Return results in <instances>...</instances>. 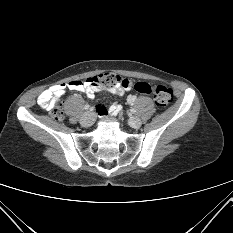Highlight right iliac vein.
I'll list each match as a JSON object with an SVG mask.
<instances>
[{
	"mask_svg": "<svg viewBox=\"0 0 233 233\" xmlns=\"http://www.w3.org/2000/svg\"><path fill=\"white\" fill-rule=\"evenodd\" d=\"M95 120V114L93 112H85L81 119L80 124L84 127L91 126Z\"/></svg>",
	"mask_w": 233,
	"mask_h": 233,
	"instance_id": "1",
	"label": "right iliac vein"
}]
</instances>
